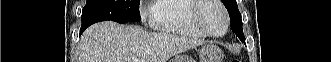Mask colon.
I'll use <instances>...</instances> for the list:
<instances>
[{
    "label": "colon",
    "mask_w": 331,
    "mask_h": 62,
    "mask_svg": "<svg viewBox=\"0 0 331 62\" xmlns=\"http://www.w3.org/2000/svg\"><path fill=\"white\" fill-rule=\"evenodd\" d=\"M232 62H241V61H239V60H234V61H232Z\"/></svg>",
    "instance_id": "5ec220e1"
}]
</instances>
